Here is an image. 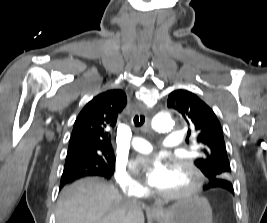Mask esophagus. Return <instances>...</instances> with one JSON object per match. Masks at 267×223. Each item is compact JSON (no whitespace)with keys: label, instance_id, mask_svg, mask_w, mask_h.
I'll return each mask as SVG.
<instances>
[{"label":"esophagus","instance_id":"obj_1","mask_svg":"<svg viewBox=\"0 0 267 223\" xmlns=\"http://www.w3.org/2000/svg\"><path fill=\"white\" fill-rule=\"evenodd\" d=\"M141 111H142L143 113H146V109H145L144 107L141 108ZM153 211H154V212H159V209H158V208H154Z\"/></svg>","mask_w":267,"mask_h":223}]
</instances>
